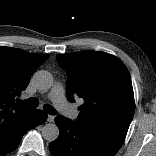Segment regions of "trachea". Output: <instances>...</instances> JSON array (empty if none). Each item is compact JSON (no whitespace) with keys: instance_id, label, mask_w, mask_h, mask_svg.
I'll list each match as a JSON object with an SVG mask.
<instances>
[{"instance_id":"3493384b","label":"trachea","mask_w":156,"mask_h":156,"mask_svg":"<svg viewBox=\"0 0 156 156\" xmlns=\"http://www.w3.org/2000/svg\"><path fill=\"white\" fill-rule=\"evenodd\" d=\"M17 103H19L20 105H24L30 108H37L39 105V100L37 98H29L26 100H17ZM44 110L50 114V115H55L56 114V110L52 105L49 104H45L44 105Z\"/></svg>"}]
</instances>
